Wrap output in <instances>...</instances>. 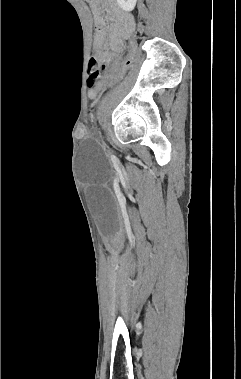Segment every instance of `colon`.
<instances>
[{
	"label": "colon",
	"instance_id": "obj_1",
	"mask_svg": "<svg viewBox=\"0 0 241 379\" xmlns=\"http://www.w3.org/2000/svg\"><path fill=\"white\" fill-rule=\"evenodd\" d=\"M128 42L130 43L129 47V56L125 59L123 64L119 66L120 71L114 76V79L119 83L124 81V78L127 74V69L130 65L136 63V57L138 56V51L140 50V45L137 44V37L134 32L128 33ZM103 67L101 63L95 58H91L89 62V76H88V85L90 87L94 86L97 80L101 77ZM110 84L106 83L105 85L99 84L97 86V93L99 99H104L106 96V91L109 90Z\"/></svg>",
	"mask_w": 241,
	"mask_h": 379
}]
</instances>
